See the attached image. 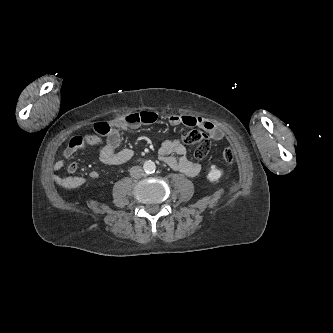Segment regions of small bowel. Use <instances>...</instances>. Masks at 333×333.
<instances>
[{"instance_id": "1", "label": "small bowel", "mask_w": 333, "mask_h": 333, "mask_svg": "<svg viewBox=\"0 0 333 333\" xmlns=\"http://www.w3.org/2000/svg\"><path fill=\"white\" fill-rule=\"evenodd\" d=\"M158 118L157 113L152 111H141L130 113L126 116L117 118L111 122L112 132L106 136V141L102 144V138L95 134H86L74 136L70 139L62 158L57 160L53 169L58 171L64 167L65 161L69 160L77 151L87 146L100 145L98 156L101 162L107 165H119L128 162L133 157V151L128 148L119 149L120 134L119 130L137 129L143 124L154 123ZM169 123L174 126L184 125L187 127L198 126L205 130L210 139L220 141L224 137L223 130L206 118L191 115H172L169 117ZM187 150L180 139L162 141L159 147V156L171 168L178 170L188 176L194 177L201 172V166L187 158ZM176 155V156H174ZM78 164L72 162L67 166L69 176L56 178V182L65 188H74L81 186L85 178L74 176ZM99 176L97 171H92L90 177L95 179Z\"/></svg>"}]
</instances>
